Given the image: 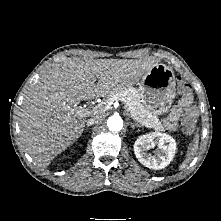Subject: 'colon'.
<instances>
[{
  "instance_id": "colon-1",
  "label": "colon",
  "mask_w": 221,
  "mask_h": 221,
  "mask_svg": "<svg viewBox=\"0 0 221 221\" xmlns=\"http://www.w3.org/2000/svg\"><path fill=\"white\" fill-rule=\"evenodd\" d=\"M177 81H178V89L182 94L183 98L187 100L191 99L190 86L181 77H178ZM194 124H195V113L193 111H187L181 121L182 131L188 135L192 134L194 130Z\"/></svg>"
}]
</instances>
